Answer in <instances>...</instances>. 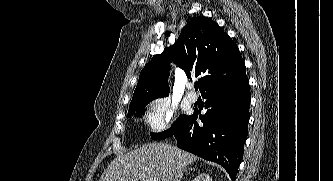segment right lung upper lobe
Returning <instances> with one entry per match:
<instances>
[{
  "label": "right lung upper lobe",
  "mask_w": 333,
  "mask_h": 181,
  "mask_svg": "<svg viewBox=\"0 0 333 181\" xmlns=\"http://www.w3.org/2000/svg\"><path fill=\"white\" fill-rule=\"evenodd\" d=\"M173 60L187 77L199 79L201 93L245 75L238 47L219 25L199 16L192 18L171 47L155 55L140 73L129 108L169 93L168 62ZM159 62V63H157Z\"/></svg>",
  "instance_id": "obj_1"
}]
</instances>
